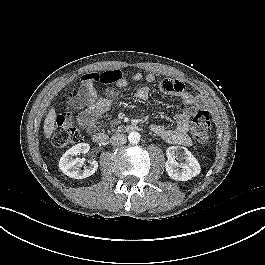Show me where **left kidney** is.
<instances>
[{
  "instance_id": "obj_1",
  "label": "left kidney",
  "mask_w": 265,
  "mask_h": 265,
  "mask_svg": "<svg viewBox=\"0 0 265 265\" xmlns=\"http://www.w3.org/2000/svg\"><path fill=\"white\" fill-rule=\"evenodd\" d=\"M168 160L165 163V168L168 175L177 181H188L197 176L200 171V165L197 159L182 146H171L166 151ZM175 159L183 160L184 163H178Z\"/></svg>"
}]
</instances>
